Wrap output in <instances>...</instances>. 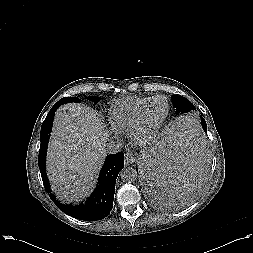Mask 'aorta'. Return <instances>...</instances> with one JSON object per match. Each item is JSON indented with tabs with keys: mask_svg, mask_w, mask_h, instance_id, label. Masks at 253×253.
Wrapping results in <instances>:
<instances>
[{
	"mask_svg": "<svg viewBox=\"0 0 253 253\" xmlns=\"http://www.w3.org/2000/svg\"><path fill=\"white\" fill-rule=\"evenodd\" d=\"M120 176L124 182L131 183L137 179V172L132 167H126L121 171Z\"/></svg>",
	"mask_w": 253,
	"mask_h": 253,
	"instance_id": "obj_1",
	"label": "aorta"
}]
</instances>
